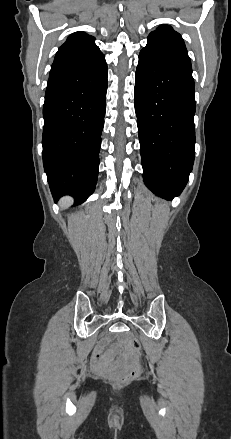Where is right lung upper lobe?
Masks as SVG:
<instances>
[{
	"label": "right lung upper lobe",
	"mask_w": 231,
	"mask_h": 439,
	"mask_svg": "<svg viewBox=\"0 0 231 439\" xmlns=\"http://www.w3.org/2000/svg\"><path fill=\"white\" fill-rule=\"evenodd\" d=\"M94 41L93 36L84 32L71 34L56 53L49 79L83 70L102 58L104 55Z\"/></svg>",
	"instance_id": "right-lung-upper-lobe-1"
}]
</instances>
